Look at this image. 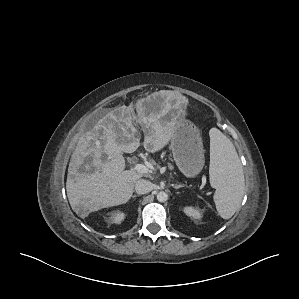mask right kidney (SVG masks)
<instances>
[{"mask_svg":"<svg viewBox=\"0 0 299 299\" xmlns=\"http://www.w3.org/2000/svg\"><path fill=\"white\" fill-rule=\"evenodd\" d=\"M125 219V213L122 211H115L111 214L110 221L115 224H120Z\"/></svg>","mask_w":299,"mask_h":299,"instance_id":"1","label":"right kidney"}]
</instances>
